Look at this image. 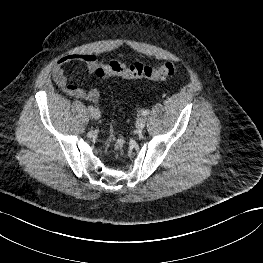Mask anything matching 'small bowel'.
<instances>
[{
    "mask_svg": "<svg viewBox=\"0 0 263 263\" xmlns=\"http://www.w3.org/2000/svg\"><path fill=\"white\" fill-rule=\"evenodd\" d=\"M73 63H82L89 72H96L102 65L100 60L92 53H78L66 55L60 58L52 69V76L57 86L66 94L91 102H97L100 98V92L97 89L85 90L71 83L65 75V67Z\"/></svg>",
    "mask_w": 263,
    "mask_h": 263,
    "instance_id": "1",
    "label": "small bowel"
}]
</instances>
